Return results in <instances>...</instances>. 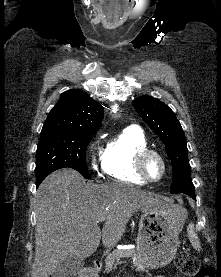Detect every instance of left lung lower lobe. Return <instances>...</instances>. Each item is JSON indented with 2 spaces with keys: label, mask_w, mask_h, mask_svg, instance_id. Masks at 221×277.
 Returning <instances> with one entry per match:
<instances>
[{
  "label": "left lung lower lobe",
  "mask_w": 221,
  "mask_h": 277,
  "mask_svg": "<svg viewBox=\"0 0 221 277\" xmlns=\"http://www.w3.org/2000/svg\"><path fill=\"white\" fill-rule=\"evenodd\" d=\"M187 195H190L193 199H195V190L194 191H189Z\"/></svg>",
  "instance_id": "0a47b994"
}]
</instances>
